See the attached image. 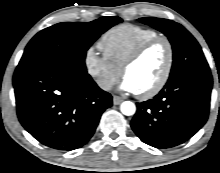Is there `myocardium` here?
Returning a JSON list of instances; mask_svg holds the SVG:
<instances>
[{
	"instance_id": "obj_1",
	"label": "myocardium",
	"mask_w": 220,
	"mask_h": 173,
	"mask_svg": "<svg viewBox=\"0 0 220 173\" xmlns=\"http://www.w3.org/2000/svg\"><path fill=\"white\" fill-rule=\"evenodd\" d=\"M158 43H164L167 47L168 57L166 67L160 79L151 87L149 90L138 93V97L140 99H150L157 94H159L165 85L167 84L174 65V47L169 38L165 36H156L143 44H141L125 61L122 67V75L125 76L126 72L136 63L138 62L152 47L157 45Z\"/></svg>"
}]
</instances>
